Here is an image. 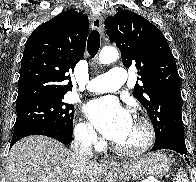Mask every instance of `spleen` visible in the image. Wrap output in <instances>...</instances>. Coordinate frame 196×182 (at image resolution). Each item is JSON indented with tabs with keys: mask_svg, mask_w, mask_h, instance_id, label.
Returning <instances> with one entry per match:
<instances>
[{
	"mask_svg": "<svg viewBox=\"0 0 196 182\" xmlns=\"http://www.w3.org/2000/svg\"><path fill=\"white\" fill-rule=\"evenodd\" d=\"M173 182H189L187 179V174L182 168L178 169L177 177L174 178Z\"/></svg>",
	"mask_w": 196,
	"mask_h": 182,
	"instance_id": "3e777b00",
	"label": "spleen"
}]
</instances>
